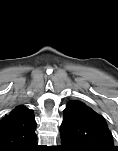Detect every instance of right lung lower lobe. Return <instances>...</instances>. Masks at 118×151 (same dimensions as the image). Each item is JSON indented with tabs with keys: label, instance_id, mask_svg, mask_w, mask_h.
<instances>
[{
	"label": "right lung lower lobe",
	"instance_id": "98d812e1",
	"mask_svg": "<svg viewBox=\"0 0 118 151\" xmlns=\"http://www.w3.org/2000/svg\"><path fill=\"white\" fill-rule=\"evenodd\" d=\"M39 150V148L37 147L36 143L33 147H31L30 149H28L27 151H36Z\"/></svg>",
	"mask_w": 118,
	"mask_h": 151
}]
</instances>
